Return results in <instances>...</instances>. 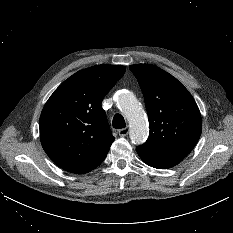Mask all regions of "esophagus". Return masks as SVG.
<instances>
[{"instance_id":"esophagus-1","label":"esophagus","mask_w":233,"mask_h":233,"mask_svg":"<svg viewBox=\"0 0 233 233\" xmlns=\"http://www.w3.org/2000/svg\"><path fill=\"white\" fill-rule=\"evenodd\" d=\"M120 137H125L129 133V127L126 126L125 128H122L118 131Z\"/></svg>"}]
</instances>
